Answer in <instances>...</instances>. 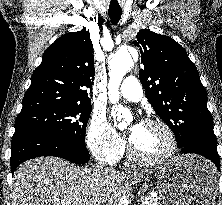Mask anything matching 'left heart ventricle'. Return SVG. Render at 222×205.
Instances as JSON below:
<instances>
[{
	"mask_svg": "<svg viewBox=\"0 0 222 205\" xmlns=\"http://www.w3.org/2000/svg\"><path fill=\"white\" fill-rule=\"evenodd\" d=\"M133 128L134 123L129 125V130ZM131 143L140 156L153 158L165 152L169 141L161 127L142 122L134 130Z\"/></svg>",
	"mask_w": 222,
	"mask_h": 205,
	"instance_id": "b2bd125f",
	"label": "left heart ventricle"
}]
</instances>
